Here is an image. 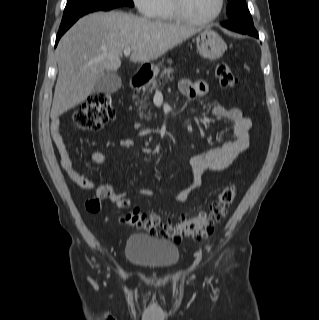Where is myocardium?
Listing matches in <instances>:
<instances>
[{
  "mask_svg": "<svg viewBox=\"0 0 319 320\" xmlns=\"http://www.w3.org/2000/svg\"><path fill=\"white\" fill-rule=\"evenodd\" d=\"M224 6H225V0H219L218 1V8L212 16H210L208 18H204V19H197V18L190 16L186 12V10L183 6V0H171L172 11H173L176 19L183 22V23L193 24V25H204V24H208V23L216 21L220 17V15L222 14V12L224 10Z\"/></svg>",
  "mask_w": 319,
  "mask_h": 320,
  "instance_id": "f54148a6",
  "label": "myocardium"
}]
</instances>
